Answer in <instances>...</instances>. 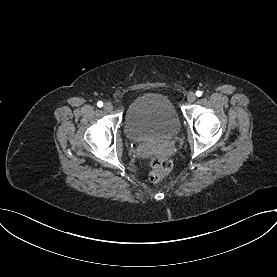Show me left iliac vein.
Instances as JSON below:
<instances>
[{
    "label": "left iliac vein",
    "mask_w": 277,
    "mask_h": 277,
    "mask_svg": "<svg viewBox=\"0 0 277 277\" xmlns=\"http://www.w3.org/2000/svg\"><path fill=\"white\" fill-rule=\"evenodd\" d=\"M188 102L192 103L196 100V95L193 92H189L187 95Z\"/></svg>",
    "instance_id": "left-iliac-vein-1"
}]
</instances>
